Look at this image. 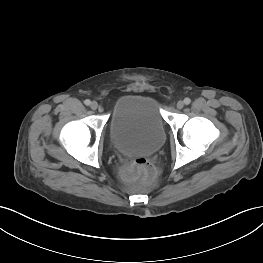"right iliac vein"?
I'll return each mask as SVG.
<instances>
[{
  "mask_svg": "<svg viewBox=\"0 0 263 263\" xmlns=\"http://www.w3.org/2000/svg\"><path fill=\"white\" fill-rule=\"evenodd\" d=\"M90 107L92 110H96L98 108V103L96 101L91 102Z\"/></svg>",
  "mask_w": 263,
  "mask_h": 263,
  "instance_id": "right-iliac-vein-1",
  "label": "right iliac vein"
}]
</instances>
